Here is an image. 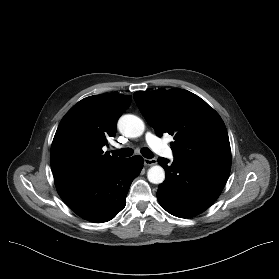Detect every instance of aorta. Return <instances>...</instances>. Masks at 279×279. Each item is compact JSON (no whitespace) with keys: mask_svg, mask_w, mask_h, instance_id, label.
Segmentation results:
<instances>
[{"mask_svg":"<svg viewBox=\"0 0 279 279\" xmlns=\"http://www.w3.org/2000/svg\"><path fill=\"white\" fill-rule=\"evenodd\" d=\"M118 129L125 136L135 138L143 134L145 125L139 117L126 114L120 117ZM147 178L153 184H161L165 180L164 169L159 165L152 166L147 172Z\"/></svg>","mask_w":279,"mask_h":279,"instance_id":"1","label":"aorta"}]
</instances>
